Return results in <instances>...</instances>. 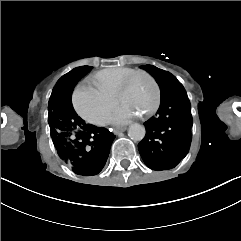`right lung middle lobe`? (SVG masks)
Wrapping results in <instances>:
<instances>
[{"label":"right lung middle lobe","mask_w":241,"mask_h":241,"mask_svg":"<svg viewBox=\"0 0 241 241\" xmlns=\"http://www.w3.org/2000/svg\"><path fill=\"white\" fill-rule=\"evenodd\" d=\"M92 69V67H91ZM72 71L62 76L56 83L55 87L53 88L51 97L48 103V122L51 130V136L54 144H57L59 140L65 134V127L62 123L63 118V109H73L72 102H71V94L72 92L68 90L66 87L67 85V78Z\"/></svg>","instance_id":"right-lung-middle-lobe-1"}]
</instances>
